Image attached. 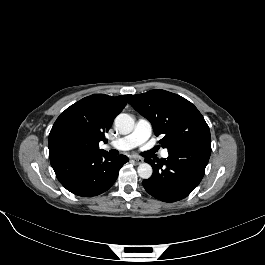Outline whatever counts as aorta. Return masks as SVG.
Here are the masks:
<instances>
[{
	"label": "aorta",
	"instance_id": "1",
	"mask_svg": "<svg viewBox=\"0 0 265 265\" xmlns=\"http://www.w3.org/2000/svg\"><path fill=\"white\" fill-rule=\"evenodd\" d=\"M114 124L121 134L126 135L133 131L135 121L129 114L121 113L115 118ZM137 172L142 179H149L152 176L153 169L150 164L142 163L138 166Z\"/></svg>",
	"mask_w": 265,
	"mask_h": 265
}]
</instances>
